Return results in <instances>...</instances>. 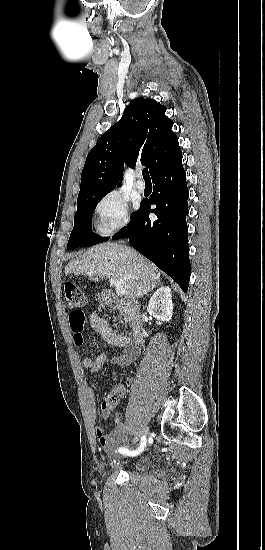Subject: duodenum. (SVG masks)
<instances>
[{
	"label": "duodenum",
	"mask_w": 265,
	"mask_h": 550,
	"mask_svg": "<svg viewBox=\"0 0 265 550\" xmlns=\"http://www.w3.org/2000/svg\"><path fill=\"white\" fill-rule=\"evenodd\" d=\"M103 299L105 304L112 310L126 309L132 316V346L136 349L140 347L145 339L144 335V322L137 315L139 312V306L133 300L124 301L115 296L110 291L103 292Z\"/></svg>",
	"instance_id": "1"
}]
</instances>
